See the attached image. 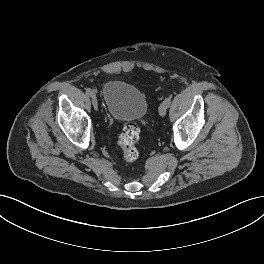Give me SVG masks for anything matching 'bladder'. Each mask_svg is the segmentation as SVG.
I'll use <instances>...</instances> for the list:
<instances>
[{
    "instance_id": "31cf9c89",
    "label": "bladder",
    "mask_w": 264,
    "mask_h": 264,
    "mask_svg": "<svg viewBox=\"0 0 264 264\" xmlns=\"http://www.w3.org/2000/svg\"><path fill=\"white\" fill-rule=\"evenodd\" d=\"M107 112L116 120L130 122L142 119L148 109L143 92L136 86L120 81H107L102 89Z\"/></svg>"
}]
</instances>
